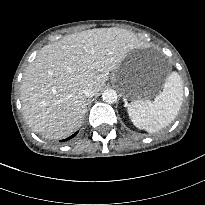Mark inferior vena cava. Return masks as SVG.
Wrapping results in <instances>:
<instances>
[{"label": "inferior vena cava", "mask_w": 205, "mask_h": 205, "mask_svg": "<svg viewBox=\"0 0 205 205\" xmlns=\"http://www.w3.org/2000/svg\"><path fill=\"white\" fill-rule=\"evenodd\" d=\"M83 94L86 96V97H93L95 95V91L93 89L92 86H86L84 89H83Z\"/></svg>", "instance_id": "inferior-vena-cava-1"}]
</instances>
